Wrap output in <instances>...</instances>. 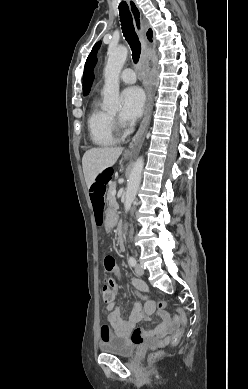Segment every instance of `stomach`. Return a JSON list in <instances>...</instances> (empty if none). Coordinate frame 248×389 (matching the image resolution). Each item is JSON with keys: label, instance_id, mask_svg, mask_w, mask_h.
Listing matches in <instances>:
<instances>
[{"label": "stomach", "instance_id": "obj_1", "mask_svg": "<svg viewBox=\"0 0 248 389\" xmlns=\"http://www.w3.org/2000/svg\"><path fill=\"white\" fill-rule=\"evenodd\" d=\"M114 212H115V209L113 207L106 208L107 220L105 221V224L108 226L107 230H106L107 234H110L114 230L113 226H116L118 224V221L116 220L117 215Z\"/></svg>", "mask_w": 248, "mask_h": 389}]
</instances>
